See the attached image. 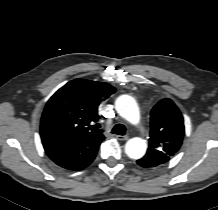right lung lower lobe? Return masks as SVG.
<instances>
[{
    "label": "right lung lower lobe",
    "mask_w": 218,
    "mask_h": 210,
    "mask_svg": "<svg viewBox=\"0 0 218 210\" xmlns=\"http://www.w3.org/2000/svg\"><path fill=\"white\" fill-rule=\"evenodd\" d=\"M41 140L49 158L62 168L77 171L94 160L104 137L79 139L71 135L44 132Z\"/></svg>",
    "instance_id": "right-lung-lower-lobe-1"
}]
</instances>
